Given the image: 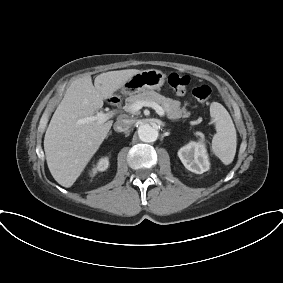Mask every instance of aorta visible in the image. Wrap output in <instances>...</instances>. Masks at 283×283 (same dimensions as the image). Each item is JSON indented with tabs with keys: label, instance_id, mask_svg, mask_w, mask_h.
<instances>
[{
	"label": "aorta",
	"instance_id": "1",
	"mask_svg": "<svg viewBox=\"0 0 283 283\" xmlns=\"http://www.w3.org/2000/svg\"><path fill=\"white\" fill-rule=\"evenodd\" d=\"M137 132L140 140L146 143L154 142L158 138V128L155 125L142 124Z\"/></svg>",
	"mask_w": 283,
	"mask_h": 283
}]
</instances>
